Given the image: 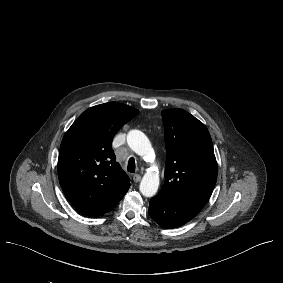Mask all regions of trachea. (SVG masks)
I'll list each match as a JSON object with an SVG mask.
<instances>
[{
  "label": "trachea",
  "mask_w": 283,
  "mask_h": 283,
  "mask_svg": "<svg viewBox=\"0 0 283 283\" xmlns=\"http://www.w3.org/2000/svg\"><path fill=\"white\" fill-rule=\"evenodd\" d=\"M127 170L130 173H135L136 171L135 159L133 157H131L128 161Z\"/></svg>",
  "instance_id": "obj_1"
}]
</instances>
